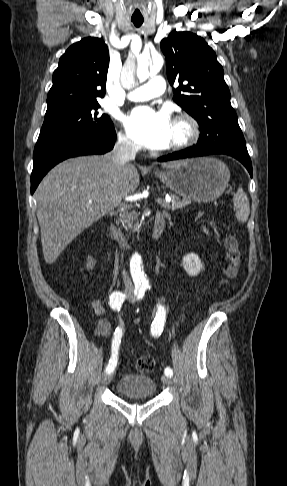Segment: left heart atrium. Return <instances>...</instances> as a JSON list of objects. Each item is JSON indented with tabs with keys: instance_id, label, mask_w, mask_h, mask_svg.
<instances>
[{
	"instance_id": "1",
	"label": "left heart atrium",
	"mask_w": 287,
	"mask_h": 486,
	"mask_svg": "<svg viewBox=\"0 0 287 486\" xmlns=\"http://www.w3.org/2000/svg\"><path fill=\"white\" fill-rule=\"evenodd\" d=\"M123 123L131 138L149 149H164L170 144L173 123L164 111L138 106L124 117Z\"/></svg>"
}]
</instances>
